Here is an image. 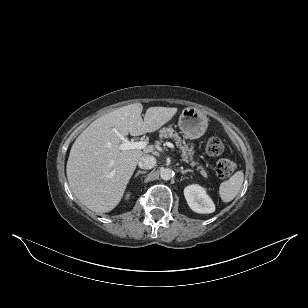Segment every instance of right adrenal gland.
<instances>
[{
  "mask_svg": "<svg viewBox=\"0 0 308 308\" xmlns=\"http://www.w3.org/2000/svg\"><path fill=\"white\" fill-rule=\"evenodd\" d=\"M139 174H146V171H141V170H139V171L135 174V178H136Z\"/></svg>",
  "mask_w": 308,
  "mask_h": 308,
  "instance_id": "obj_1",
  "label": "right adrenal gland"
}]
</instances>
